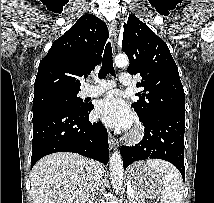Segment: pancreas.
<instances>
[{"label": "pancreas", "instance_id": "cf45deb5", "mask_svg": "<svg viewBox=\"0 0 214 203\" xmlns=\"http://www.w3.org/2000/svg\"><path fill=\"white\" fill-rule=\"evenodd\" d=\"M129 200H130V203H146L145 201H141L138 197H136L135 193L133 197H131Z\"/></svg>", "mask_w": 214, "mask_h": 203}]
</instances>
